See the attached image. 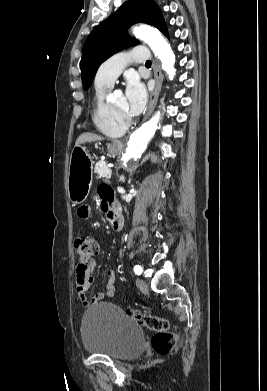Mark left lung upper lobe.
I'll return each instance as SVG.
<instances>
[{
    "instance_id": "5c2ea615",
    "label": "left lung upper lobe",
    "mask_w": 267,
    "mask_h": 391,
    "mask_svg": "<svg viewBox=\"0 0 267 391\" xmlns=\"http://www.w3.org/2000/svg\"><path fill=\"white\" fill-rule=\"evenodd\" d=\"M138 22L153 25L162 33L167 31L160 9L153 0L127 1L93 29L82 51L81 76L84 90L91 86L96 71L104 60L139 43L126 32L129 26Z\"/></svg>"
}]
</instances>
